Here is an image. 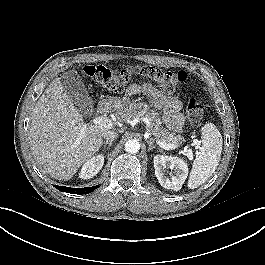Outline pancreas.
<instances>
[{
    "mask_svg": "<svg viewBox=\"0 0 265 265\" xmlns=\"http://www.w3.org/2000/svg\"><path fill=\"white\" fill-rule=\"evenodd\" d=\"M118 116L121 117L123 121L137 117H146L149 121L147 129L157 141L179 146L184 140L183 136L176 135L174 132L165 129L158 117V113L150 109L146 103H130L118 113Z\"/></svg>",
    "mask_w": 265,
    "mask_h": 265,
    "instance_id": "1",
    "label": "pancreas"
}]
</instances>
